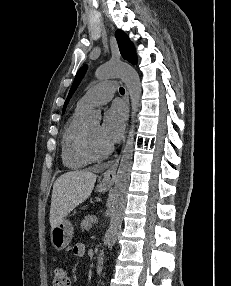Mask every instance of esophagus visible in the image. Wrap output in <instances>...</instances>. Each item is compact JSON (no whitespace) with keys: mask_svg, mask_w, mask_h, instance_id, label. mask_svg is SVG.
Segmentation results:
<instances>
[{"mask_svg":"<svg viewBox=\"0 0 231 286\" xmlns=\"http://www.w3.org/2000/svg\"><path fill=\"white\" fill-rule=\"evenodd\" d=\"M125 101H126L127 107L129 108V94L127 91L125 95ZM119 160H120V156L117 157L112 163V165L103 173V176L101 179L102 185L112 186L114 184Z\"/></svg>","mask_w":231,"mask_h":286,"instance_id":"1","label":"esophagus"}]
</instances>
